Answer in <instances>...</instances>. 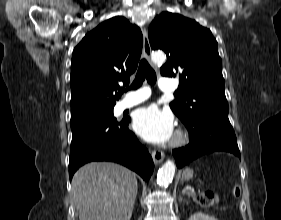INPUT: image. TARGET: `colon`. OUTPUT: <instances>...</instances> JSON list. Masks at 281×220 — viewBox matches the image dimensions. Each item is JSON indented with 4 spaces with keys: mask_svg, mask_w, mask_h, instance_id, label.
<instances>
[{
    "mask_svg": "<svg viewBox=\"0 0 281 220\" xmlns=\"http://www.w3.org/2000/svg\"><path fill=\"white\" fill-rule=\"evenodd\" d=\"M241 194V189L238 185L233 188L232 195L234 197H239ZM198 201L205 206H211L218 202V195L214 192H204L198 197Z\"/></svg>",
    "mask_w": 281,
    "mask_h": 220,
    "instance_id": "obj_1",
    "label": "colon"
}]
</instances>
